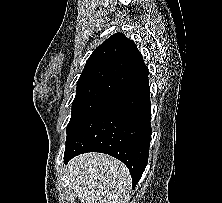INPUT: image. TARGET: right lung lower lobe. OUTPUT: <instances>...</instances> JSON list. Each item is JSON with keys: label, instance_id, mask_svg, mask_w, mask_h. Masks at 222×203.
<instances>
[{"label": "right lung lower lobe", "instance_id": "98d812e1", "mask_svg": "<svg viewBox=\"0 0 222 203\" xmlns=\"http://www.w3.org/2000/svg\"><path fill=\"white\" fill-rule=\"evenodd\" d=\"M148 68L67 133L64 162L86 152L109 154L129 169L133 187L148 162L151 104Z\"/></svg>", "mask_w": 222, "mask_h": 203}]
</instances>
